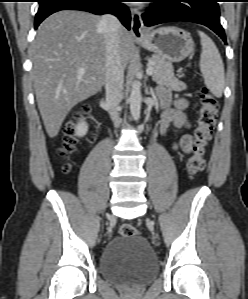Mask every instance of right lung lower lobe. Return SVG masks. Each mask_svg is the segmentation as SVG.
<instances>
[{"label": "right lung lower lobe", "instance_id": "98d812e1", "mask_svg": "<svg viewBox=\"0 0 248 299\" xmlns=\"http://www.w3.org/2000/svg\"><path fill=\"white\" fill-rule=\"evenodd\" d=\"M122 1L123 0H39V9L35 16V28H37L46 17L57 11L82 10L97 15L106 13L113 14L130 30V11L121 3Z\"/></svg>", "mask_w": 248, "mask_h": 299}]
</instances>
